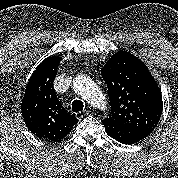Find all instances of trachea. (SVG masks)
I'll return each mask as SVG.
<instances>
[{
  "instance_id": "1",
  "label": "trachea",
  "mask_w": 178,
  "mask_h": 178,
  "mask_svg": "<svg viewBox=\"0 0 178 178\" xmlns=\"http://www.w3.org/2000/svg\"><path fill=\"white\" fill-rule=\"evenodd\" d=\"M83 102L81 100H75L72 103V111L73 112H81L83 111Z\"/></svg>"
}]
</instances>
